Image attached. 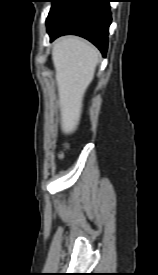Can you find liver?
Listing matches in <instances>:
<instances>
[{
    "label": "liver",
    "instance_id": "obj_1",
    "mask_svg": "<svg viewBox=\"0 0 158 275\" xmlns=\"http://www.w3.org/2000/svg\"><path fill=\"white\" fill-rule=\"evenodd\" d=\"M99 56L93 45L78 37H63L54 43L52 60L65 134L73 133L79 125L84 94L93 80Z\"/></svg>",
    "mask_w": 158,
    "mask_h": 275
}]
</instances>
